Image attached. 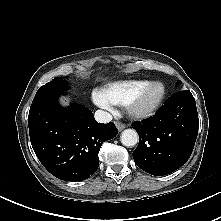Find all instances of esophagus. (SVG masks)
I'll return each instance as SVG.
<instances>
[{
    "label": "esophagus",
    "mask_w": 221,
    "mask_h": 221,
    "mask_svg": "<svg viewBox=\"0 0 221 221\" xmlns=\"http://www.w3.org/2000/svg\"><path fill=\"white\" fill-rule=\"evenodd\" d=\"M115 125L119 131H122L126 127L124 124L120 122H116Z\"/></svg>",
    "instance_id": "1"
}]
</instances>
